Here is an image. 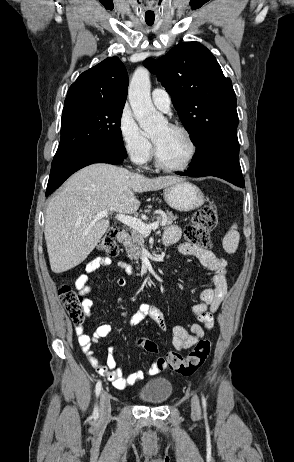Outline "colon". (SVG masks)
Returning <instances> with one entry per match:
<instances>
[{
    "label": "colon",
    "mask_w": 294,
    "mask_h": 462,
    "mask_svg": "<svg viewBox=\"0 0 294 462\" xmlns=\"http://www.w3.org/2000/svg\"><path fill=\"white\" fill-rule=\"evenodd\" d=\"M216 225L215 207L212 204L204 205L193 214L191 222L185 229V237L196 248L209 251L211 249L209 234ZM117 233V228H109L98 243V250L109 256H115L118 253V246L115 242ZM58 295L72 322L77 326L81 325L85 319L83 297L68 284L60 286ZM138 344L147 352H157L156 344L149 339H141ZM211 348L212 344L209 339H201L186 356L171 352L166 358H159L158 364L163 369L169 368L176 373L189 376L205 363Z\"/></svg>",
    "instance_id": "colon-1"
}]
</instances>
